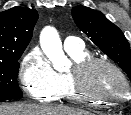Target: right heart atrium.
Masks as SVG:
<instances>
[{
	"label": "right heart atrium",
	"mask_w": 131,
	"mask_h": 115,
	"mask_svg": "<svg viewBox=\"0 0 131 115\" xmlns=\"http://www.w3.org/2000/svg\"><path fill=\"white\" fill-rule=\"evenodd\" d=\"M20 83L26 94L39 102H50L61 90L59 74L39 48L29 50L19 71Z\"/></svg>",
	"instance_id": "obj_1"
}]
</instances>
